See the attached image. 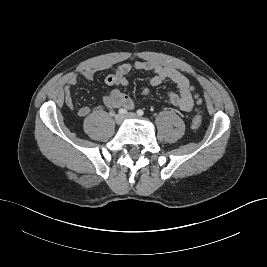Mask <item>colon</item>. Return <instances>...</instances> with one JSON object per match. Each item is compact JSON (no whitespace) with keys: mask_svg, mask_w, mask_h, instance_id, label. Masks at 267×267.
<instances>
[{"mask_svg":"<svg viewBox=\"0 0 267 267\" xmlns=\"http://www.w3.org/2000/svg\"><path fill=\"white\" fill-rule=\"evenodd\" d=\"M202 119L199 115H195L192 119V126L194 128H199L201 126Z\"/></svg>","mask_w":267,"mask_h":267,"instance_id":"obj_1","label":"colon"}]
</instances>
